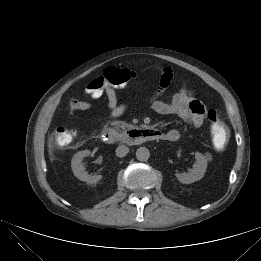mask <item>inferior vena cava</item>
<instances>
[{"mask_svg": "<svg viewBox=\"0 0 261 261\" xmlns=\"http://www.w3.org/2000/svg\"><path fill=\"white\" fill-rule=\"evenodd\" d=\"M128 152H129V148L125 145H120L116 149V155L118 157H124L128 154Z\"/></svg>", "mask_w": 261, "mask_h": 261, "instance_id": "obj_1", "label": "inferior vena cava"}]
</instances>
